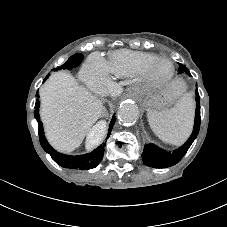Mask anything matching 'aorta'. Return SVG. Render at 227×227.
<instances>
[{"mask_svg":"<svg viewBox=\"0 0 227 227\" xmlns=\"http://www.w3.org/2000/svg\"><path fill=\"white\" fill-rule=\"evenodd\" d=\"M139 111L133 104H124L118 111L119 122L125 126L133 125L137 122Z\"/></svg>","mask_w":227,"mask_h":227,"instance_id":"aorta-1","label":"aorta"}]
</instances>
